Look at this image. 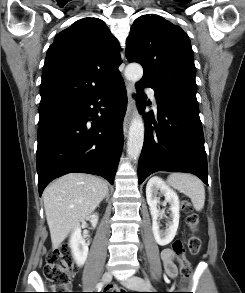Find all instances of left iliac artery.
<instances>
[{
    "instance_id": "1",
    "label": "left iliac artery",
    "mask_w": 245,
    "mask_h": 293,
    "mask_svg": "<svg viewBox=\"0 0 245 293\" xmlns=\"http://www.w3.org/2000/svg\"><path fill=\"white\" fill-rule=\"evenodd\" d=\"M150 288L145 286L142 290H149Z\"/></svg>"
}]
</instances>
